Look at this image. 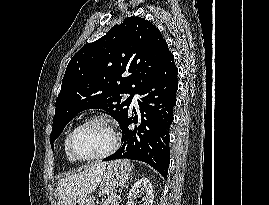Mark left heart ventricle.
<instances>
[{
    "label": "left heart ventricle",
    "instance_id": "left-heart-ventricle-1",
    "mask_svg": "<svg viewBox=\"0 0 269 205\" xmlns=\"http://www.w3.org/2000/svg\"><path fill=\"white\" fill-rule=\"evenodd\" d=\"M112 145V136L108 128L99 122L82 127L75 135L73 146L75 152L82 157L98 155Z\"/></svg>",
    "mask_w": 269,
    "mask_h": 205
}]
</instances>
